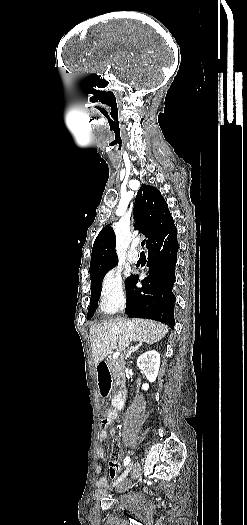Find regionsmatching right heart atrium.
I'll list each match as a JSON object with an SVG mask.
<instances>
[{
  "instance_id": "d8ad5b80",
  "label": "right heart atrium",
  "mask_w": 247,
  "mask_h": 525,
  "mask_svg": "<svg viewBox=\"0 0 247 525\" xmlns=\"http://www.w3.org/2000/svg\"><path fill=\"white\" fill-rule=\"evenodd\" d=\"M125 304V293L121 274L115 269H109L99 286L98 305L104 314L120 311Z\"/></svg>"
}]
</instances>
